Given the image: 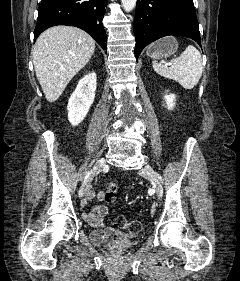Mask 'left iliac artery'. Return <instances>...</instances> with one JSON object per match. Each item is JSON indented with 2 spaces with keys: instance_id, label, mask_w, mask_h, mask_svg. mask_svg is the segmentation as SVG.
<instances>
[{
  "instance_id": "obj_1",
  "label": "left iliac artery",
  "mask_w": 240,
  "mask_h": 281,
  "mask_svg": "<svg viewBox=\"0 0 240 281\" xmlns=\"http://www.w3.org/2000/svg\"><path fill=\"white\" fill-rule=\"evenodd\" d=\"M158 178L162 181L161 176L158 175Z\"/></svg>"
}]
</instances>
